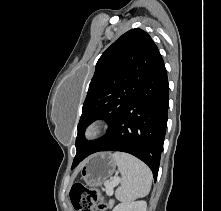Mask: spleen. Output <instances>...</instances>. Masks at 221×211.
Masks as SVG:
<instances>
[{"label": "spleen", "mask_w": 221, "mask_h": 211, "mask_svg": "<svg viewBox=\"0 0 221 211\" xmlns=\"http://www.w3.org/2000/svg\"><path fill=\"white\" fill-rule=\"evenodd\" d=\"M113 160L121 173L120 187L115 196L120 201H130L148 195L153 175L146 164L123 152H115Z\"/></svg>", "instance_id": "3e777b00"}]
</instances>
